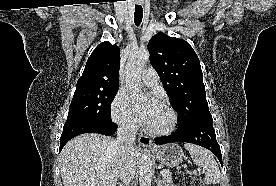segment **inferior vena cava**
<instances>
[{
  "label": "inferior vena cava",
  "instance_id": "obj_1",
  "mask_svg": "<svg viewBox=\"0 0 276 186\" xmlns=\"http://www.w3.org/2000/svg\"><path fill=\"white\" fill-rule=\"evenodd\" d=\"M137 126L134 122H123L117 130V139L115 144L119 149L121 166L119 176L125 186L133 179L136 171V162L131 155L134 149Z\"/></svg>",
  "mask_w": 276,
  "mask_h": 186
}]
</instances>
